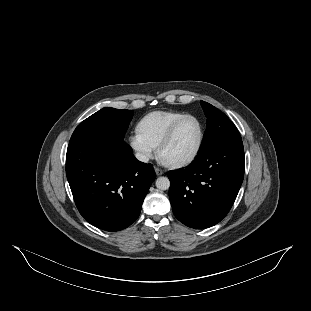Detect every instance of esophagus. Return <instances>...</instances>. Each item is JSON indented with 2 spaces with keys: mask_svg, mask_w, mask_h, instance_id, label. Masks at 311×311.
I'll use <instances>...</instances> for the list:
<instances>
[{
  "mask_svg": "<svg viewBox=\"0 0 311 311\" xmlns=\"http://www.w3.org/2000/svg\"><path fill=\"white\" fill-rule=\"evenodd\" d=\"M154 170H155V173H156L157 176H161V175L164 174L163 170H161L158 167H154Z\"/></svg>",
  "mask_w": 311,
  "mask_h": 311,
  "instance_id": "obj_1",
  "label": "esophagus"
}]
</instances>
